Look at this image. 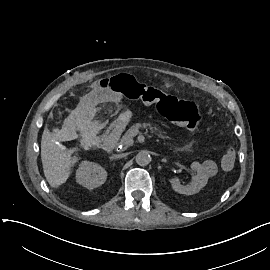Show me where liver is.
<instances>
[{
  "mask_svg": "<svg viewBox=\"0 0 270 270\" xmlns=\"http://www.w3.org/2000/svg\"><path fill=\"white\" fill-rule=\"evenodd\" d=\"M63 144H57L52 134L44 129L41 139V161L44 176L55 190L66 183L71 169L79 162L77 156Z\"/></svg>",
  "mask_w": 270,
  "mask_h": 270,
  "instance_id": "obj_1",
  "label": "liver"
}]
</instances>
